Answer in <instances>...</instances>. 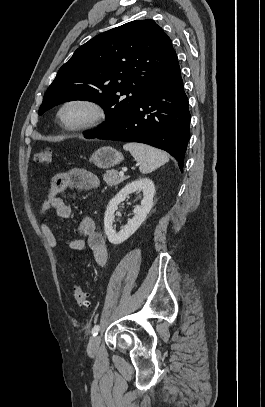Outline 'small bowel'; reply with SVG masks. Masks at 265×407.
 <instances>
[{"instance_id":"c3829d8e","label":"small bowel","mask_w":265,"mask_h":407,"mask_svg":"<svg viewBox=\"0 0 265 407\" xmlns=\"http://www.w3.org/2000/svg\"><path fill=\"white\" fill-rule=\"evenodd\" d=\"M99 185V178L95 174L83 169H73L53 177L38 213L40 229L50 247H56V236L46 221L48 211L54 210L59 217L65 219L71 215V208L63 199L62 193L69 187L94 190ZM78 230L85 239H69L66 242L67 246L73 251L90 253L98 266H105L108 259L106 241L98 231L95 220L90 216L83 217L79 221ZM74 257L75 255L72 254L71 258Z\"/></svg>"}]
</instances>
